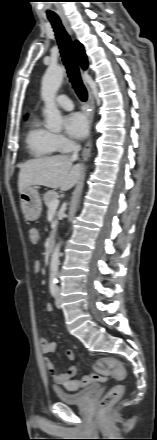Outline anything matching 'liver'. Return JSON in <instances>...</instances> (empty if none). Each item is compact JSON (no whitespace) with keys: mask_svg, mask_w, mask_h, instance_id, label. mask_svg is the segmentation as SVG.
<instances>
[{"mask_svg":"<svg viewBox=\"0 0 157 440\" xmlns=\"http://www.w3.org/2000/svg\"><path fill=\"white\" fill-rule=\"evenodd\" d=\"M82 173L83 166H73V160L64 155L33 159L20 167L18 190L21 194L28 187L42 185L67 191L78 182Z\"/></svg>","mask_w":157,"mask_h":440,"instance_id":"6515ba94","label":"liver"}]
</instances>
